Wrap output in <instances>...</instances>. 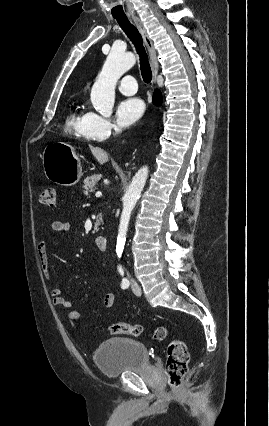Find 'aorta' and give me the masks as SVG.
Here are the masks:
<instances>
[{
	"label": "aorta",
	"mask_w": 269,
	"mask_h": 426,
	"mask_svg": "<svg viewBox=\"0 0 269 426\" xmlns=\"http://www.w3.org/2000/svg\"><path fill=\"white\" fill-rule=\"evenodd\" d=\"M135 63L136 57L133 53L111 50L91 90V102L96 111L102 116L110 117L112 115L116 83ZM148 173L147 166L140 168L132 178V182L124 194L116 244L118 257H121L123 253L131 213L145 186Z\"/></svg>",
	"instance_id": "obj_1"
}]
</instances>
